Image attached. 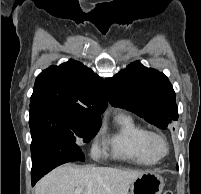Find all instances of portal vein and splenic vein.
<instances>
[{
	"mask_svg": "<svg viewBox=\"0 0 201 194\" xmlns=\"http://www.w3.org/2000/svg\"><path fill=\"white\" fill-rule=\"evenodd\" d=\"M82 190H83L82 187H77V188L75 189L74 194H81V191H82Z\"/></svg>",
	"mask_w": 201,
	"mask_h": 194,
	"instance_id": "obj_1",
	"label": "portal vein and splenic vein"
}]
</instances>
